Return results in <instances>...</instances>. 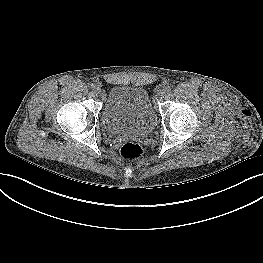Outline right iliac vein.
I'll list each match as a JSON object with an SVG mask.
<instances>
[{
    "label": "right iliac vein",
    "mask_w": 263,
    "mask_h": 263,
    "mask_svg": "<svg viewBox=\"0 0 263 263\" xmlns=\"http://www.w3.org/2000/svg\"><path fill=\"white\" fill-rule=\"evenodd\" d=\"M96 91H97L98 93H101V88L98 86V88L96 89Z\"/></svg>",
    "instance_id": "right-iliac-vein-1"
}]
</instances>
